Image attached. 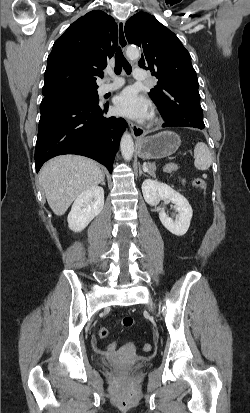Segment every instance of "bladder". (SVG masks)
Wrapping results in <instances>:
<instances>
[{"label":"bladder","instance_id":"31cf9c89","mask_svg":"<svg viewBox=\"0 0 250 413\" xmlns=\"http://www.w3.org/2000/svg\"><path fill=\"white\" fill-rule=\"evenodd\" d=\"M98 362H99V364L102 365V366H108V365H110V363H111V361H110L109 359H107V358H100V359L98 360ZM138 368H140V365H134V366H132V369H138Z\"/></svg>","mask_w":250,"mask_h":413}]
</instances>
